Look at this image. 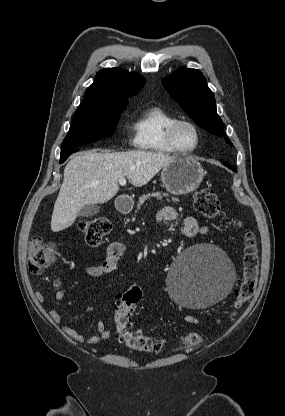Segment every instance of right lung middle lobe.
I'll list each match as a JSON object with an SVG mask.
<instances>
[{"instance_id":"dd1d6c3e","label":"right lung middle lobe","mask_w":285,"mask_h":416,"mask_svg":"<svg viewBox=\"0 0 285 416\" xmlns=\"http://www.w3.org/2000/svg\"><path fill=\"white\" fill-rule=\"evenodd\" d=\"M125 108L126 104L108 107L79 106L61 149L74 148L110 136Z\"/></svg>"}]
</instances>
